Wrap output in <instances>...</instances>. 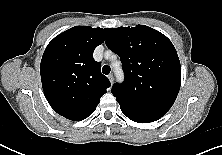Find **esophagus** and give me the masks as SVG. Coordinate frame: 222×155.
Listing matches in <instances>:
<instances>
[{
  "mask_svg": "<svg viewBox=\"0 0 222 155\" xmlns=\"http://www.w3.org/2000/svg\"><path fill=\"white\" fill-rule=\"evenodd\" d=\"M108 79H109V81L111 82V84H113V82H114L113 74H109V75H108Z\"/></svg>",
  "mask_w": 222,
  "mask_h": 155,
  "instance_id": "1",
  "label": "esophagus"
}]
</instances>
